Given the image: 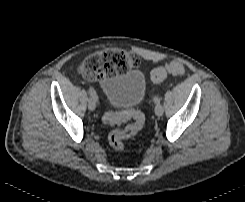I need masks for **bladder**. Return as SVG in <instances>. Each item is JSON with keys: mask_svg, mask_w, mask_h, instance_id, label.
Returning <instances> with one entry per match:
<instances>
[{"mask_svg": "<svg viewBox=\"0 0 245 202\" xmlns=\"http://www.w3.org/2000/svg\"><path fill=\"white\" fill-rule=\"evenodd\" d=\"M106 102L113 108H133L140 105L146 92V80L138 70H132L101 84Z\"/></svg>", "mask_w": 245, "mask_h": 202, "instance_id": "31cf9c89", "label": "bladder"}]
</instances>
